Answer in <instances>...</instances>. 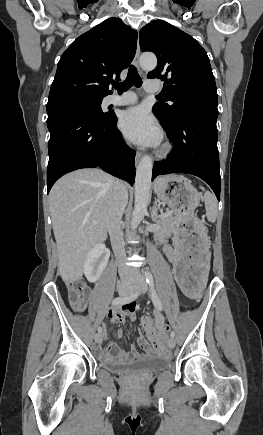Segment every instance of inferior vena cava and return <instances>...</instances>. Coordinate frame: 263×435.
I'll use <instances>...</instances> for the list:
<instances>
[{"mask_svg":"<svg viewBox=\"0 0 263 435\" xmlns=\"http://www.w3.org/2000/svg\"><path fill=\"white\" fill-rule=\"evenodd\" d=\"M128 193L126 186L121 181H116L114 184L112 200L108 212L107 229L110 235L113 252L119 259V274H131L132 270L125 266L122 262L125 256L123 233L121 230V219L124 209L127 205Z\"/></svg>","mask_w":263,"mask_h":435,"instance_id":"inferior-vena-cava-1","label":"inferior vena cava"}]
</instances>
